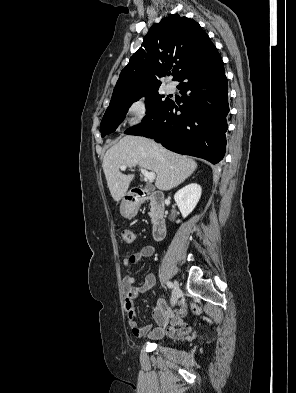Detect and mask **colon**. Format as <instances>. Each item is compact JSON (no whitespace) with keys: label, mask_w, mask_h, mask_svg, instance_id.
Here are the masks:
<instances>
[{"label":"colon","mask_w":296,"mask_h":393,"mask_svg":"<svg viewBox=\"0 0 296 393\" xmlns=\"http://www.w3.org/2000/svg\"><path fill=\"white\" fill-rule=\"evenodd\" d=\"M117 233L125 244L131 245L134 242L135 236L133 231L129 229L120 228L117 230Z\"/></svg>","instance_id":"colon-1"}]
</instances>
